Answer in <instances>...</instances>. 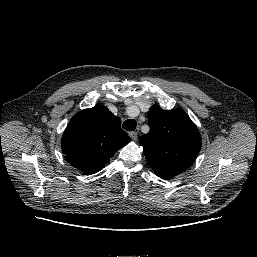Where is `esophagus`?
Segmentation results:
<instances>
[{"label": "esophagus", "instance_id": "34e87169", "mask_svg": "<svg viewBox=\"0 0 257 257\" xmlns=\"http://www.w3.org/2000/svg\"><path fill=\"white\" fill-rule=\"evenodd\" d=\"M129 136L131 137V139L136 140L138 134H137V132H130V133H129Z\"/></svg>", "mask_w": 257, "mask_h": 257}]
</instances>
